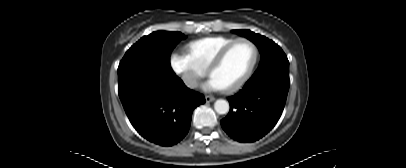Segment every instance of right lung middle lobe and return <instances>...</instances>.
<instances>
[{
	"label": "right lung middle lobe",
	"instance_id": "1",
	"mask_svg": "<svg viewBox=\"0 0 406 168\" xmlns=\"http://www.w3.org/2000/svg\"><path fill=\"white\" fill-rule=\"evenodd\" d=\"M180 32L157 31L142 37L126 52L118 67V92L175 76L170 54L181 39Z\"/></svg>",
	"mask_w": 406,
	"mask_h": 168
}]
</instances>
